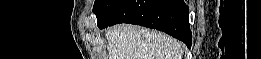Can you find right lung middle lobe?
Here are the masks:
<instances>
[{
    "mask_svg": "<svg viewBox=\"0 0 261 59\" xmlns=\"http://www.w3.org/2000/svg\"><path fill=\"white\" fill-rule=\"evenodd\" d=\"M118 0H95L93 12L98 17L108 11Z\"/></svg>",
    "mask_w": 261,
    "mask_h": 59,
    "instance_id": "right-lung-middle-lobe-1",
    "label": "right lung middle lobe"
}]
</instances>
